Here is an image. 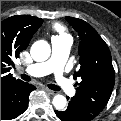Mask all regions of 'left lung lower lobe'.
Instances as JSON below:
<instances>
[{
  "mask_svg": "<svg viewBox=\"0 0 121 121\" xmlns=\"http://www.w3.org/2000/svg\"><path fill=\"white\" fill-rule=\"evenodd\" d=\"M55 113L62 121H91L96 116L77 107L72 102H69L65 111L55 110Z\"/></svg>",
  "mask_w": 121,
  "mask_h": 121,
  "instance_id": "obj_1",
  "label": "left lung lower lobe"
}]
</instances>
